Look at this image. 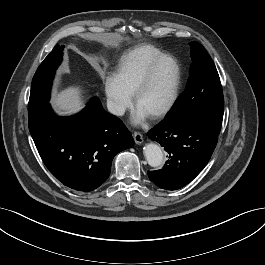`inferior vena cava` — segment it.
Returning <instances> with one entry per match:
<instances>
[{"label":"inferior vena cava","mask_w":265,"mask_h":265,"mask_svg":"<svg viewBox=\"0 0 265 265\" xmlns=\"http://www.w3.org/2000/svg\"><path fill=\"white\" fill-rule=\"evenodd\" d=\"M107 108L111 114L117 116H122L125 112V109L121 105L112 100L107 101Z\"/></svg>","instance_id":"inferior-vena-cava-1"}]
</instances>
